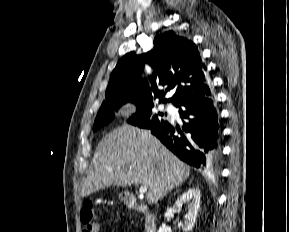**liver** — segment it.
<instances>
[{
	"mask_svg": "<svg viewBox=\"0 0 289 232\" xmlns=\"http://www.w3.org/2000/svg\"><path fill=\"white\" fill-rule=\"evenodd\" d=\"M190 175V169L150 132L122 126L106 135L93 157V169L82 186L86 197L105 187L146 186L149 204L163 199Z\"/></svg>",
	"mask_w": 289,
	"mask_h": 232,
	"instance_id": "1",
	"label": "liver"
}]
</instances>
